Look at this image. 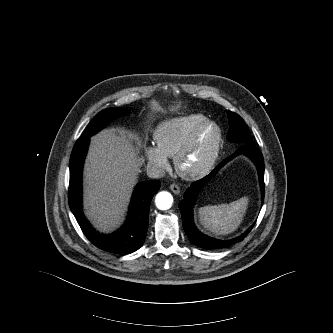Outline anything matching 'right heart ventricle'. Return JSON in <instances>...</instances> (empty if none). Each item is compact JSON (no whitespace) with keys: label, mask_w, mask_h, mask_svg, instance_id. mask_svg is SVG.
Returning <instances> with one entry per match:
<instances>
[{"label":"right heart ventricle","mask_w":333,"mask_h":333,"mask_svg":"<svg viewBox=\"0 0 333 333\" xmlns=\"http://www.w3.org/2000/svg\"><path fill=\"white\" fill-rule=\"evenodd\" d=\"M205 121L207 117L202 114H189L160 123L153 133L156 147L166 157L175 158L194 131Z\"/></svg>","instance_id":"obj_1"}]
</instances>
